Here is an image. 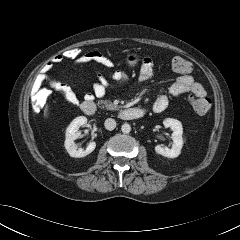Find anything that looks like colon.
<instances>
[{
	"instance_id": "5ec220e1",
	"label": "colon",
	"mask_w": 240,
	"mask_h": 240,
	"mask_svg": "<svg viewBox=\"0 0 240 240\" xmlns=\"http://www.w3.org/2000/svg\"><path fill=\"white\" fill-rule=\"evenodd\" d=\"M85 54L81 48L72 47L60 53V56L63 60L83 64ZM171 65L172 69L179 74H187L192 70L191 63L182 57L173 58ZM47 98L48 94L44 90L34 95L32 98L33 108L39 110L46 103ZM189 102L195 113L200 116L206 115L211 108V102L206 97H198L192 94L189 96Z\"/></svg>"
}]
</instances>
